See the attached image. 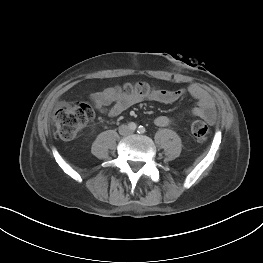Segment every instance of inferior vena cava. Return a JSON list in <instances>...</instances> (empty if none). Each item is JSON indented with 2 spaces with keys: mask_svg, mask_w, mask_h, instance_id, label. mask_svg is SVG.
<instances>
[{
  "mask_svg": "<svg viewBox=\"0 0 263 263\" xmlns=\"http://www.w3.org/2000/svg\"><path fill=\"white\" fill-rule=\"evenodd\" d=\"M119 132H120L121 134H125V133H128L129 130L127 129V126H126V125H122V126L119 127Z\"/></svg>",
  "mask_w": 263,
  "mask_h": 263,
  "instance_id": "inferior-vena-cava-1",
  "label": "inferior vena cava"
}]
</instances>
